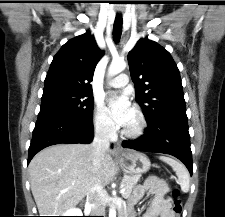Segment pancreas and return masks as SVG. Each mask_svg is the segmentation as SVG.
<instances>
[{"instance_id": "obj_1", "label": "pancreas", "mask_w": 225, "mask_h": 217, "mask_svg": "<svg viewBox=\"0 0 225 217\" xmlns=\"http://www.w3.org/2000/svg\"><path fill=\"white\" fill-rule=\"evenodd\" d=\"M140 175H132V176H128L125 175L122 179L121 182V186L123 188H125V192L122 193V196L124 198H128L130 197L132 190L134 188V186L138 183V181L140 180ZM169 191V189H165L164 190V194L167 193Z\"/></svg>"}]
</instances>
